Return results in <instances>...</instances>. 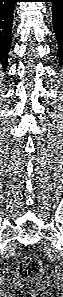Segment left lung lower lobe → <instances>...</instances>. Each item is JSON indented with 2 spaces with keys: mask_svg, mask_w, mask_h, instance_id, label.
Instances as JSON below:
<instances>
[{
  "mask_svg": "<svg viewBox=\"0 0 63 297\" xmlns=\"http://www.w3.org/2000/svg\"><path fill=\"white\" fill-rule=\"evenodd\" d=\"M47 2H52L53 26L61 65L63 63V0H47Z\"/></svg>",
  "mask_w": 63,
  "mask_h": 297,
  "instance_id": "obj_1",
  "label": "left lung lower lobe"
}]
</instances>
